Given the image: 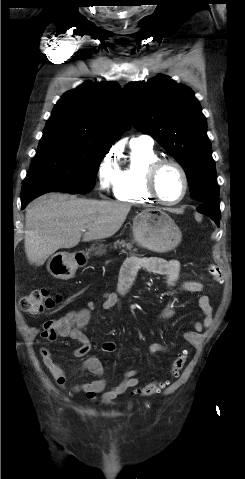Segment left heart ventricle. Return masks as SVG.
<instances>
[{
    "instance_id": "b2bd125f",
    "label": "left heart ventricle",
    "mask_w": 245,
    "mask_h": 479,
    "mask_svg": "<svg viewBox=\"0 0 245 479\" xmlns=\"http://www.w3.org/2000/svg\"><path fill=\"white\" fill-rule=\"evenodd\" d=\"M158 190L167 201L178 199L183 191V182L180 173L173 166H166L158 177Z\"/></svg>"
}]
</instances>
